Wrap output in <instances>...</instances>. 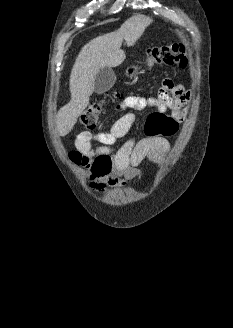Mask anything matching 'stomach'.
I'll return each mask as SVG.
<instances>
[{
	"mask_svg": "<svg viewBox=\"0 0 233 328\" xmlns=\"http://www.w3.org/2000/svg\"><path fill=\"white\" fill-rule=\"evenodd\" d=\"M140 71V67L138 65H131L129 66L126 71H125V75L127 77H135Z\"/></svg>",
	"mask_w": 233,
	"mask_h": 328,
	"instance_id": "obj_1",
	"label": "stomach"
}]
</instances>
